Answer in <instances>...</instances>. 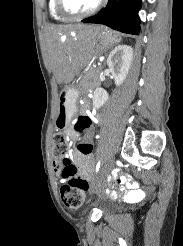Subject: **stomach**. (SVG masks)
<instances>
[{"mask_svg":"<svg viewBox=\"0 0 183 246\" xmlns=\"http://www.w3.org/2000/svg\"><path fill=\"white\" fill-rule=\"evenodd\" d=\"M120 40L121 38L118 35L100 27L95 36L94 52L98 53L105 49L109 44ZM77 97L78 91L74 88L66 87L61 92L58 114L55 120L57 128H66L71 123L77 110Z\"/></svg>","mask_w":183,"mask_h":246,"instance_id":"0dacf381","label":"stomach"}]
</instances>
